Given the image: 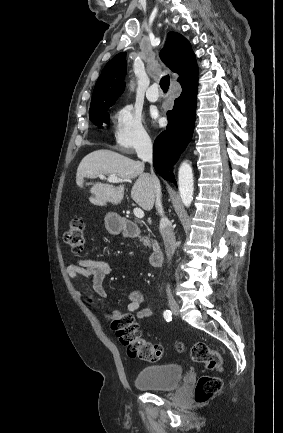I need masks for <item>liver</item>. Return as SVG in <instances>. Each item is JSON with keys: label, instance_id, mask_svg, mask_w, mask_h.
I'll list each match as a JSON object with an SVG mask.
<instances>
[{"label": "liver", "instance_id": "6515ba94", "mask_svg": "<svg viewBox=\"0 0 283 433\" xmlns=\"http://www.w3.org/2000/svg\"><path fill=\"white\" fill-rule=\"evenodd\" d=\"M145 164L140 160H132L128 156H123L113 150H93L82 158L78 168L76 182L78 186H83L85 176L97 178L98 174H108V176H119L124 182L130 178H136L132 188L131 196L144 210H151L154 206L156 192L154 184L148 172H144ZM89 196L92 204L104 206L106 202L119 204L124 198L125 184H108V182H96L90 190Z\"/></svg>", "mask_w": 283, "mask_h": 433}]
</instances>
